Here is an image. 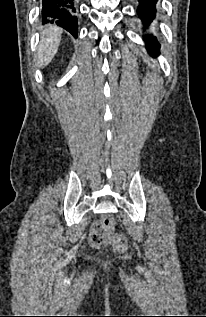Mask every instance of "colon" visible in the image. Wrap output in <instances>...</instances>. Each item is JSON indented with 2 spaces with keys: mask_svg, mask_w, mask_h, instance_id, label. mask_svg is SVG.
<instances>
[{
  "mask_svg": "<svg viewBox=\"0 0 206 317\" xmlns=\"http://www.w3.org/2000/svg\"><path fill=\"white\" fill-rule=\"evenodd\" d=\"M90 243L96 248L112 246L118 252L127 249L126 237L115 230L114 221L110 217L102 218L93 228L90 234Z\"/></svg>",
  "mask_w": 206,
  "mask_h": 317,
  "instance_id": "colon-1",
  "label": "colon"
}]
</instances>
